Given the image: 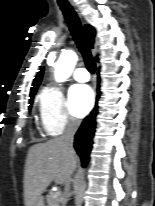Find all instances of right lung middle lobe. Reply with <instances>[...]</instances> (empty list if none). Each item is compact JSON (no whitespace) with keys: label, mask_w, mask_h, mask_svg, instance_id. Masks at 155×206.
<instances>
[{"label":"right lung middle lobe","mask_w":155,"mask_h":206,"mask_svg":"<svg viewBox=\"0 0 155 206\" xmlns=\"http://www.w3.org/2000/svg\"><path fill=\"white\" fill-rule=\"evenodd\" d=\"M30 97H31V99H30V101H29V103H30L29 108H31V107H32V103H33V97H34V95H30Z\"/></svg>","instance_id":"obj_1"}]
</instances>
